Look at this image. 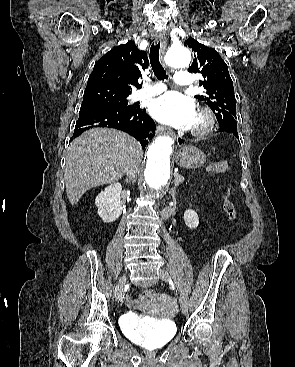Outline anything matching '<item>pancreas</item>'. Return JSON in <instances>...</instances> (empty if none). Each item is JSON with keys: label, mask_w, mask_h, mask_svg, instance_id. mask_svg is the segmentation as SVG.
I'll list each match as a JSON object with an SVG mask.
<instances>
[{"label": "pancreas", "mask_w": 295, "mask_h": 367, "mask_svg": "<svg viewBox=\"0 0 295 367\" xmlns=\"http://www.w3.org/2000/svg\"><path fill=\"white\" fill-rule=\"evenodd\" d=\"M183 181H184V177L182 175L177 174L176 176H174V184L175 185H179Z\"/></svg>", "instance_id": "obj_1"}]
</instances>
